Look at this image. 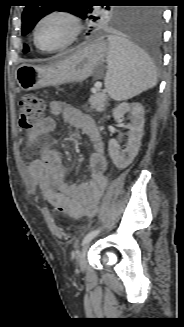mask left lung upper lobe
I'll list each match as a JSON object with an SVG mask.
<instances>
[{
	"mask_svg": "<svg viewBox=\"0 0 184 327\" xmlns=\"http://www.w3.org/2000/svg\"><path fill=\"white\" fill-rule=\"evenodd\" d=\"M56 0H31L22 14V35H26L32 30L35 24L46 14L53 11H67L79 16L82 19L89 20L96 27L106 24L118 26H133L141 16V9H111L110 6H104V12L100 13L94 6L88 4V0H76L73 5H60ZM124 2V1H119ZM103 7V6H102ZM29 50L24 45L23 52Z\"/></svg>",
	"mask_w": 184,
	"mask_h": 327,
	"instance_id": "1",
	"label": "left lung upper lobe"
}]
</instances>
